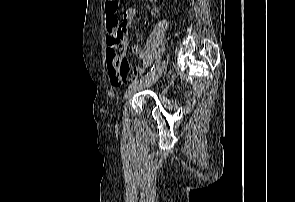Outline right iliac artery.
Wrapping results in <instances>:
<instances>
[{"label":"right iliac artery","mask_w":295,"mask_h":202,"mask_svg":"<svg viewBox=\"0 0 295 202\" xmlns=\"http://www.w3.org/2000/svg\"><path fill=\"white\" fill-rule=\"evenodd\" d=\"M159 65H160V59L157 60V62H156V66H153V67L151 68L150 72H148V73H147V74H146V75L140 80V82H143V81L147 80L150 76H152V75L155 73V71L159 68ZM138 84H139V80L135 79V80L130 84L129 88L134 87V86H136V85H138Z\"/></svg>","instance_id":"1"}]
</instances>
